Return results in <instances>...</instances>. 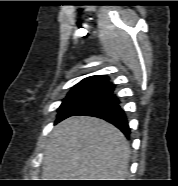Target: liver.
<instances>
[{
    "label": "liver",
    "instance_id": "6515ba94",
    "mask_svg": "<svg viewBox=\"0 0 178 186\" xmlns=\"http://www.w3.org/2000/svg\"><path fill=\"white\" fill-rule=\"evenodd\" d=\"M130 145L112 124L94 117L60 122L44 150L43 180H125Z\"/></svg>",
    "mask_w": 178,
    "mask_h": 186
}]
</instances>
